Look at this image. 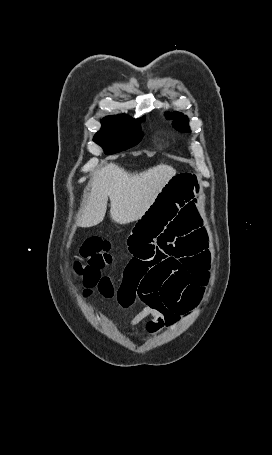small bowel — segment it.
<instances>
[{"label": "small bowel", "mask_w": 272, "mask_h": 455, "mask_svg": "<svg viewBox=\"0 0 272 455\" xmlns=\"http://www.w3.org/2000/svg\"><path fill=\"white\" fill-rule=\"evenodd\" d=\"M199 191L196 174L174 175L129 236L132 258L116 299L123 309L143 304L130 321L132 328L146 321V331L155 334L199 302L209 264L196 208Z\"/></svg>", "instance_id": "c3829d8e"}]
</instances>
